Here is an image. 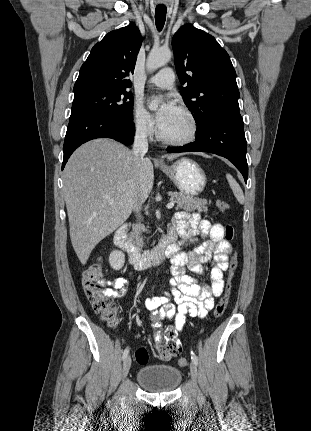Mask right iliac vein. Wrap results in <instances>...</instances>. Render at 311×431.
I'll use <instances>...</instances> for the list:
<instances>
[{"label": "right iliac vein", "instance_id": "1", "mask_svg": "<svg viewBox=\"0 0 311 431\" xmlns=\"http://www.w3.org/2000/svg\"><path fill=\"white\" fill-rule=\"evenodd\" d=\"M131 367V358L128 356L125 358L123 367H122V377L125 378L128 375V372Z\"/></svg>", "mask_w": 311, "mask_h": 431}]
</instances>
